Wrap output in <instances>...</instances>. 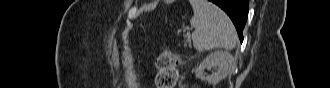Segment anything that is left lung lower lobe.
Instances as JSON below:
<instances>
[{
	"label": "left lung lower lobe",
	"instance_id": "0a47b994",
	"mask_svg": "<svg viewBox=\"0 0 330 88\" xmlns=\"http://www.w3.org/2000/svg\"><path fill=\"white\" fill-rule=\"evenodd\" d=\"M224 10L231 18L240 41H243V29L248 16V1L249 0H210Z\"/></svg>",
	"mask_w": 330,
	"mask_h": 88
}]
</instances>
